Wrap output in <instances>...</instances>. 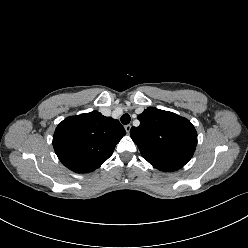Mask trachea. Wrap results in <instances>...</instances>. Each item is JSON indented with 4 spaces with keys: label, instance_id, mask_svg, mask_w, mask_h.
Here are the masks:
<instances>
[{
    "label": "trachea",
    "instance_id": "trachea-1",
    "mask_svg": "<svg viewBox=\"0 0 248 248\" xmlns=\"http://www.w3.org/2000/svg\"><path fill=\"white\" fill-rule=\"evenodd\" d=\"M120 121L122 122V124L127 125L129 124V122L131 121V117L129 114L125 113L122 115V117L120 118Z\"/></svg>",
    "mask_w": 248,
    "mask_h": 248
}]
</instances>
